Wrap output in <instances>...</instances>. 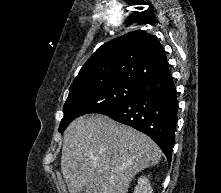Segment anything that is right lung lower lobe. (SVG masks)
<instances>
[{
    "label": "right lung lower lobe",
    "instance_id": "right-lung-lower-lobe-1",
    "mask_svg": "<svg viewBox=\"0 0 221 193\" xmlns=\"http://www.w3.org/2000/svg\"><path fill=\"white\" fill-rule=\"evenodd\" d=\"M177 111V91L170 73L145 81L131 99L100 114L148 135L171 163Z\"/></svg>",
    "mask_w": 221,
    "mask_h": 193
}]
</instances>
